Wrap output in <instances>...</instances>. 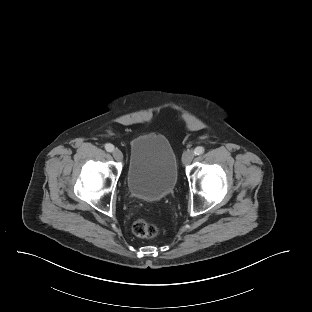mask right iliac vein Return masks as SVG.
Masks as SVG:
<instances>
[{
    "instance_id": "right-iliac-vein-1",
    "label": "right iliac vein",
    "mask_w": 312,
    "mask_h": 312,
    "mask_svg": "<svg viewBox=\"0 0 312 312\" xmlns=\"http://www.w3.org/2000/svg\"><path fill=\"white\" fill-rule=\"evenodd\" d=\"M112 155L117 161H121L123 159V154L119 149H115Z\"/></svg>"
}]
</instances>
